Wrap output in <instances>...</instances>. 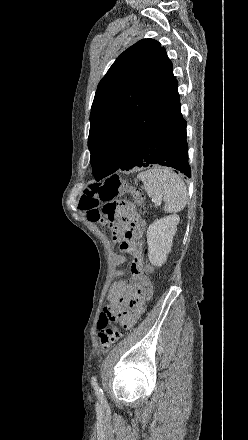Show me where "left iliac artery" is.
<instances>
[{"label":"left iliac artery","mask_w":248,"mask_h":440,"mask_svg":"<svg viewBox=\"0 0 248 440\" xmlns=\"http://www.w3.org/2000/svg\"><path fill=\"white\" fill-rule=\"evenodd\" d=\"M91 384L95 390V393L98 395L99 398L103 397V391L102 389L99 387L98 382H97V378L95 376H93L91 378Z\"/></svg>","instance_id":"left-iliac-artery-1"}]
</instances>
